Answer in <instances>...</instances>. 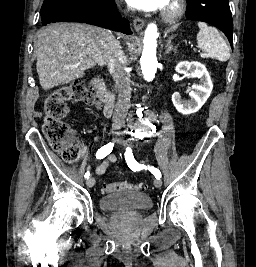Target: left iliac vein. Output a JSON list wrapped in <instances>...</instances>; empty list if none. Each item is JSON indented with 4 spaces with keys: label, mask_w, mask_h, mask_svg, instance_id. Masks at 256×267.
<instances>
[{
    "label": "left iliac vein",
    "mask_w": 256,
    "mask_h": 267,
    "mask_svg": "<svg viewBox=\"0 0 256 267\" xmlns=\"http://www.w3.org/2000/svg\"><path fill=\"white\" fill-rule=\"evenodd\" d=\"M119 143L122 144V145L125 146V147L128 146L127 141H125V140L120 139V140H119ZM154 185H155V187L160 188V187L162 186V181H161V179H160V178H156V179L154 180Z\"/></svg>",
    "instance_id": "left-iliac-vein-1"
}]
</instances>
